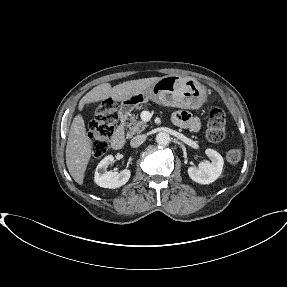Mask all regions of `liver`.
Here are the masks:
<instances>
[{
	"mask_svg": "<svg viewBox=\"0 0 287 287\" xmlns=\"http://www.w3.org/2000/svg\"><path fill=\"white\" fill-rule=\"evenodd\" d=\"M161 77L143 78L123 82L114 87L103 83L90 90L79 102V110L84 104L96 103L108 98L122 101L134 94L141 93L154 85ZM92 154V144L87 136L81 114H77L70 127L66 146V164L72 178L83 185L85 171Z\"/></svg>",
	"mask_w": 287,
	"mask_h": 287,
	"instance_id": "liver-1",
	"label": "liver"
}]
</instances>
